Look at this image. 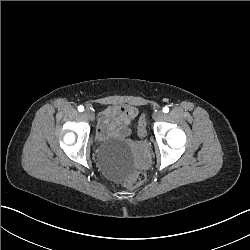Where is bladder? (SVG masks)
<instances>
[{"instance_id":"bladder-1","label":"bladder","mask_w":250,"mask_h":250,"mask_svg":"<svg viewBox=\"0 0 250 250\" xmlns=\"http://www.w3.org/2000/svg\"><path fill=\"white\" fill-rule=\"evenodd\" d=\"M99 135H101V134H96V135H95V137H96V138H98V137H99ZM114 137H116V136H114Z\"/></svg>"}]
</instances>
